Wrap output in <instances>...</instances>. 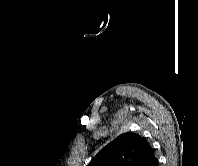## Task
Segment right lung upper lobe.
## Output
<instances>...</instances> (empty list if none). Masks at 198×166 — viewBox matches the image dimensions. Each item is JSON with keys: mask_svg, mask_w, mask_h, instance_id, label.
<instances>
[{"mask_svg": "<svg viewBox=\"0 0 198 166\" xmlns=\"http://www.w3.org/2000/svg\"><path fill=\"white\" fill-rule=\"evenodd\" d=\"M154 160L149 143L140 135L127 132L101 149L88 166H150Z\"/></svg>", "mask_w": 198, "mask_h": 166, "instance_id": "right-lung-upper-lobe-1", "label": "right lung upper lobe"}]
</instances>
